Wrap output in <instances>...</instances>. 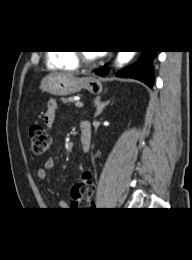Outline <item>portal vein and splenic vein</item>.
Instances as JSON below:
<instances>
[{
  "mask_svg": "<svg viewBox=\"0 0 192 260\" xmlns=\"http://www.w3.org/2000/svg\"><path fill=\"white\" fill-rule=\"evenodd\" d=\"M75 106H76V107H79V108H80V107H83V103H82L81 101H76V102H75Z\"/></svg>",
  "mask_w": 192,
  "mask_h": 260,
  "instance_id": "portal-vein-and-splenic-vein-1",
  "label": "portal vein and splenic vein"
}]
</instances>
